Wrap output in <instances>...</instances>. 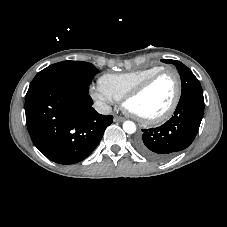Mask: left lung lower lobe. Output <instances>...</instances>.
Returning a JSON list of instances; mask_svg holds the SVG:
<instances>
[{
	"label": "left lung lower lobe",
	"instance_id": "obj_1",
	"mask_svg": "<svg viewBox=\"0 0 227 227\" xmlns=\"http://www.w3.org/2000/svg\"><path fill=\"white\" fill-rule=\"evenodd\" d=\"M203 94H188L180 98L174 116L163 125L142 129L135 141L143 156L162 161L187 148L194 140L204 112Z\"/></svg>",
	"mask_w": 227,
	"mask_h": 227
}]
</instances>
